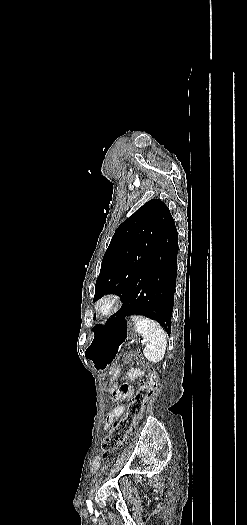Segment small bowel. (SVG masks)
Masks as SVG:
<instances>
[{
  "label": "small bowel",
  "mask_w": 247,
  "mask_h": 525,
  "mask_svg": "<svg viewBox=\"0 0 247 525\" xmlns=\"http://www.w3.org/2000/svg\"><path fill=\"white\" fill-rule=\"evenodd\" d=\"M115 376V373L113 374V377ZM144 377V371L141 370V369H138V368H135V369H132L130 370L127 375H126V378L128 380H135V379H138V378H142ZM118 387L116 384L112 387L113 388H116ZM111 389V391H112ZM125 406L124 405H117L116 407L113 408V410L109 413L107 419H106V422H105V427L106 428H110L116 419H118L119 417H121L124 413H125ZM101 466V457L100 456H97L94 460H93V463H92V471L96 472L97 470H99Z\"/></svg>",
  "instance_id": "1"
}]
</instances>
